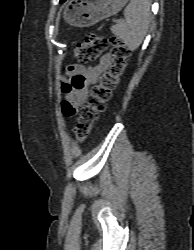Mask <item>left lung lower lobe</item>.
Returning a JSON list of instances; mask_svg holds the SVG:
<instances>
[{"label":"left lung lower lobe","instance_id":"1","mask_svg":"<svg viewBox=\"0 0 194 250\" xmlns=\"http://www.w3.org/2000/svg\"><path fill=\"white\" fill-rule=\"evenodd\" d=\"M65 1H66V0H61L60 3H63V2H65Z\"/></svg>","mask_w":194,"mask_h":250}]
</instances>
